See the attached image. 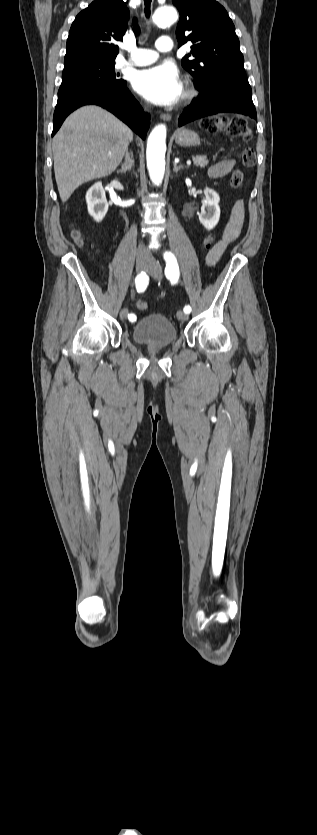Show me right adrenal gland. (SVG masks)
<instances>
[{
  "instance_id": "obj_1",
  "label": "right adrenal gland",
  "mask_w": 317,
  "mask_h": 835,
  "mask_svg": "<svg viewBox=\"0 0 317 835\" xmlns=\"http://www.w3.org/2000/svg\"><path fill=\"white\" fill-rule=\"evenodd\" d=\"M133 165H134L133 154H132V152H129V150L127 148L126 154H125V161L122 164L121 169L118 170L117 172L125 174L127 171H131V168L133 167Z\"/></svg>"
}]
</instances>
